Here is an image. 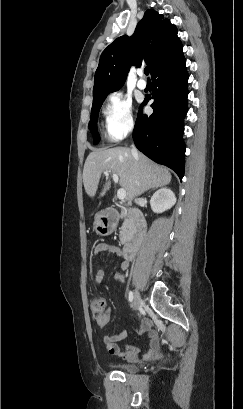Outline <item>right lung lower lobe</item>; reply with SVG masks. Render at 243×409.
<instances>
[{
    "label": "right lung lower lobe",
    "mask_w": 243,
    "mask_h": 409,
    "mask_svg": "<svg viewBox=\"0 0 243 409\" xmlns=\"http://www.w3.org/2000/svg\"><path fill=\"white\" fill-rule=\"evenodd\" d=\"M179 47L153 73V114L139 110L133 131L136 147L153 161L174 170L182 180L185 144L182 138L187 113L188 73ZM151 97L145 98L142 105Z\"/></svg>",
    "instance_id": "right-lung-lower-lobe-1"
}]
</instances>
